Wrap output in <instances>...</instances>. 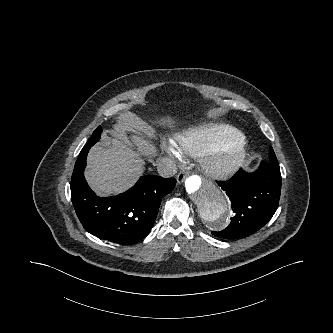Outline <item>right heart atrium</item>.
<instances>
[{"mask_svg": "<svg viewBox=\"0 0 333 333\" xmlns=\"http://www.w3.org/2000/svg\"><path fill=\"white\" fill-rule=\"evenodd\" d=\"M161 151L163 155L169 159H172L178 163L182 161V154L180 153L177 146L171 142L162 141L161 143Z\"/></svg>", "mask_w": 333, "mask_h": 333, "instance_id": "d8ad5b80", "label": "right heart atrium"}]
</instances>
